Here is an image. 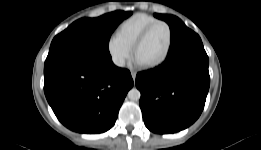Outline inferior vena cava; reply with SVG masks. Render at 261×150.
Listing matches in <instances>:
<instances>
[{
    "mask_svg": "<svg viewBox=\"0 0 261 150\" xmlns=\"http://www.w3.org/2000/svg\"><path fill=\"white\" fill-rule=\"evenodd\" d=\"M113 62L116 66H119V67H124L125 66V60L121 57H118V58H114L113 59Z\"/></svg>",
    "mask_w": 261,
    "mask_h": 150,
    "instance_id": "1",
    "label": "inferior vena cava"
}]
</instances>
